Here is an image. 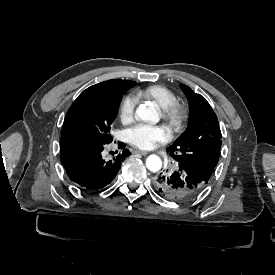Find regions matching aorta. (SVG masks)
I'll return each instance as SVG.
<instances>
[{
  "label": "aorta",
  "instance_id": "aorta-1",
  "mask_svg": "<svg viewBox=\"0 0 275 275\" xmlns=\"http://www.w3.org/2000/svg\"><path fill=\"white\" fill-rule=\"evenodd\" d=\"M135 116L145 122L157 123L160 116L154 104L141 103L135 110ZM146 166L150 172L156 173L162 168V161L157 155H149L146 159Z\"/></svg>",
  "mask_w": 275,
  "mask_h": 275
}]
</instances>
